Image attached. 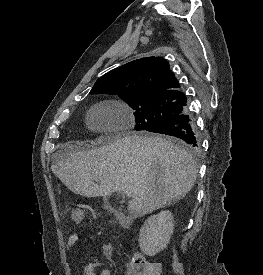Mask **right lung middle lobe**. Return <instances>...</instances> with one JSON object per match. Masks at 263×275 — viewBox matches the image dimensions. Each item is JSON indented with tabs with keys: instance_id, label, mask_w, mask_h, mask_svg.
Segmentation results:
<instances>
[{
	"instance_id": "dd1d6c3e",
	"label": "right lung middle lobe",
	"mask_w": 263,
	"mask_h": 275,
	"mask_svg": "<svg viewBox=\"0 0 263 275\" xmlns=\"http://www.w3.org/2000/svg\"><path fill=\"white\" fill-rule=\"evenodd\" d=\"M91 94H117L133 110L136 119L135 130L149 131L174 117L186 112L187 98L185 95H134L123 90H94ZM194 150L195 148L189 147Z\"/></svg>"
}]
</instances>
